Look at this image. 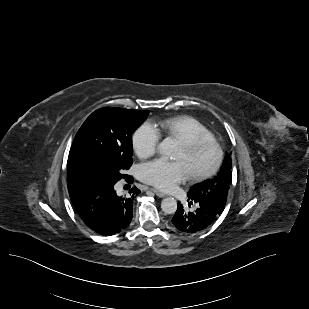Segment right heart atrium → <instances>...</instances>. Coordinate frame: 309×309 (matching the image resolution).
<instances>
[{"instance_id":"1","label":"right heart atrium","mask_w":309,"mask_h":309,"mask_svg":"<svg viewBox=\"0 0 309 309\" xmlns=\"http://www.w3.org/2000/svg\"><path fill=\"white\" fill-rule=\"evenodd\" d=\"M160 138L158 128L151 122H144L132 135L133 149L139 157H149L157 151Z\"/></svg>"}]
</instances>
